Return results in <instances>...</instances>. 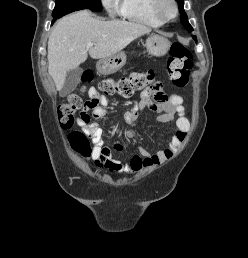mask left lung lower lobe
<instances>
[{
  "mask_svg": "<svg viewBox=\"0 0 248 258\" xmlns=\"http://www.w3.org/2000/svg\"><path fill=\"white\" fill-rule=\"evenodd\" d=\"M193 39L196 41V36H193Z\"/></svg>",
  "mask_w": 248,
  "mask_h": 258,
  "instance_id": "0a47b994",
  "label": "left lung lower lobe"
}]
</instances>
